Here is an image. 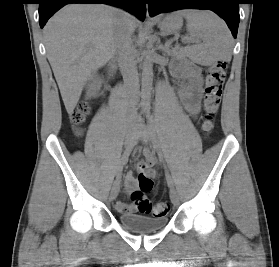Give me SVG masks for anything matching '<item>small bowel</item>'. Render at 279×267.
I'll return each instance as SVG.
<instances>
[{
	"instance_id": "obj_1",
	"label": "small bowel",
	"mask_w": 279,
	"mask_h": 267,
	"mask_svg": "<svg viewBox=\"0 0 279 267\" xmlns=\"http://www.w3.org/2000/svg\"><path fill=\"white\" fill-rule=\"evenodd\" d=\"M175 75L186 79L187 84L183 85L179 90V97L191 116H196L199 111V100L196 93L197 88L201 84V76L199 69L193 65H188L174 71ZM146 163L151 165L154 158L149 151L145 152ZM125 186L128 192L136 189V179L132 173H128L125 178ZM116 210L120 213H132L135 206L122 201H118L115 205Z\"/></svg>"
}]
</instances>
